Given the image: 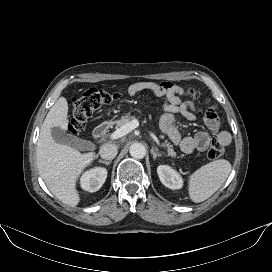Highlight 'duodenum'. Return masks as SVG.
I'll return each instance as SVG.
<instances>
[{
    "label": "duodenum",
    "instance_id": "obj_1",
    "mask_svg": "<svg viewBox=\"0 0 272 272\" xmlns=\"http://www.w3.org/2000/svg\"><path fill=\"white\" fill-rule=\"evenodd\" d=\"M112 123L111 122H104L99 124L93 132V137L95 140L99 141L102 140L105 135L107 134L108 130L111 128Z\"/></svg>",
    "mask_w": 272,
    "mask_h": 272
}]
</instances>
